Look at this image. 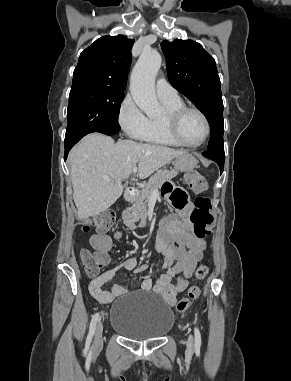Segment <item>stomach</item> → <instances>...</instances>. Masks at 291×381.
Returning a JSON list of instances; mask_svg holds the SVG:
<instances>
[{
  "label": "stomach",
  "instance_id": "0dacf381",
  "mask_svg": "<svg viewBox=\"0 0 291 381\" xmlns=\"http://www.w3.org/2000/svg\"><path fill=\"white\" fill-rule=\"evenodd\" d=\"M174 168L180 172H189L192 171L196 165V158L190 153H184L175 158L173 162Z\"/></svg>",
  "mask_w": 291,
  "mask_h": 381
}]
</instances>
